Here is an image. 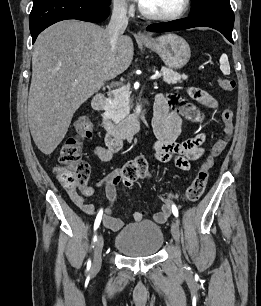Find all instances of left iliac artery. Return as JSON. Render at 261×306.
<instances>
[{
    "instance_id": "44dca946",
    "label": "left iliac artery",
    "mask_w": 261,
    "mask_h": 306,
    "mask_svg": "<svg viewBox=\"0 0 261 306\" xmlns=\"http://www.w3.org/2000/svg\"><path fill=\"white\" fill-rule=\"evenodd\" d=\"M172 212H173L175 217H178V209L175 205H172Z\"/></svg>"
}]
</instances>
